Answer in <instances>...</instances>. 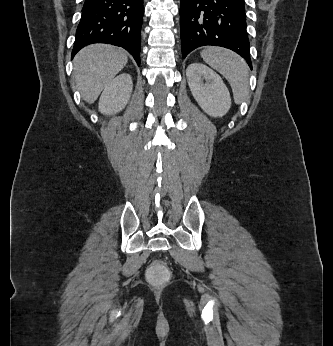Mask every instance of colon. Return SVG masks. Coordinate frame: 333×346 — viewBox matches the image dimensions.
I'll list each match as a JSON object with an SVG mask.
<instances>
[{"label": "colon", "mask_w": 333, "mask_h": 346, "mask_svg": "<svg viewBox=\"0 0 333 346\" xmlns=\"http://www.w3.org/2000/svg\"><path fill=\"white\" fill-rule=\"evenodd\" d=\"M149 269H145V276L153 288H168L172 273L167 264L163 263L162 257H152Z\"/></svg>", "instance_id": "1"}]
</instances>
